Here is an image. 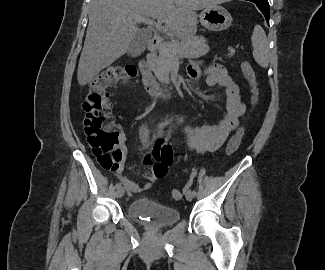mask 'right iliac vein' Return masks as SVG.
<instances>
[{
    "label": "right iliac vein",
    "instance_id": "right-iliac-vein-1",
    "mask_svg": "<svg viewBox=\"0 0 325 270\" xmlns=\"http://www.w3.org/2000/svg\"><path fill=\"white\" fill-rule=\"evenodd\" d=\"M124 188L123 187H119V188H117V190H116V197L117 198H121L123 195H124Z\"/></svg>",
    "mask_w": 325,
    "mask_h": 270
}]
</instances>
